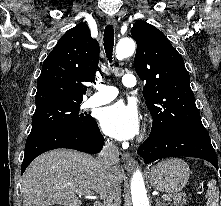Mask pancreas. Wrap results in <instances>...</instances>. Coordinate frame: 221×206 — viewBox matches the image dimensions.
<instances>
[{
    "label": "pancreas",
    "mask_w": 221,
    "mask_h": 206,
    "mask_svg": "<svg viewBox=\"0 0 221 206\" xmlns=\"http://www.w3.org/2000/svg\"><path fill=\"white\" fill-rule=\"evenodd\" d=\"M167 201H170V204L174 206H183L187 203V198L182 194H176L173 196L170 195Z\"/></svg>",
    "instance_id": "cf45deb5"
}]
</instances>
